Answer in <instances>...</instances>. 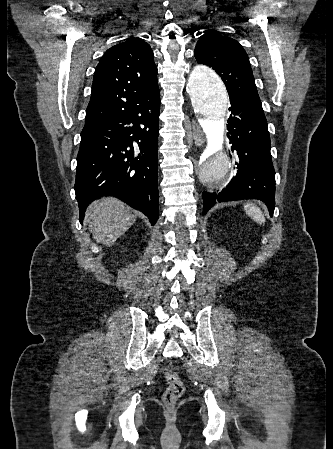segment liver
<instances>
[{
  "label": "liver",
  "instance_id": "6515ba94",
  "mask_svg": "<svg viewBox=\"0 0 333 449\" xmlns=\"http://www.w3.org/2000/svg\"><path fill=\"white\" fill-rule=\"evenodd\" d=\"M136 221L129 208L117 198L93 202L87 210L86 223L97 242L112 246Z\"/></svg>",
  "mask_w": 333,
  "mask_h": 449
}]
</instances>
